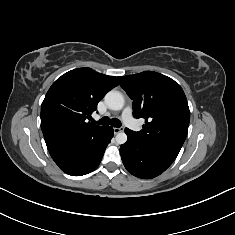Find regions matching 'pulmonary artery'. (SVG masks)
<instances>
[{
	"label": "pulmonary artery",
	"instance_id": "1",
	"mask_svg": "<svg viewBox=\"0 0 235 235\" xmlns=\"http://www.w3.org/2000/svg\"><path fill=\"white\" fill-rule=\"evenodd\" d=\"M122 119L124 123L133 131L138 132L140 130V126L137 121L132 116L131 107H126L122 112Z\"/></svg>",
	"mask_w": 235,
	"mask_h": 235
}]
</instances>
